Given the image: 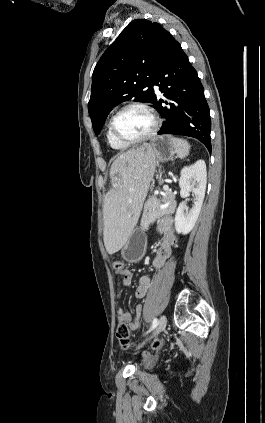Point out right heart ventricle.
Returning <instances> with one entry per match:
<instances>
[{
  "mask_svg": "<svg viewBox=\"0 0 265 423\" xmlns=\"http://www.w3.org/2000/svg\"><path fill=\"white\" fill-rule=\"evenodd\" d=\"M106 138H107V142H108L109 146L113 150L124 151L129 147V145L123 144V143L119 142L117 139L114 138V136L112 135L111 130H110V122H109L108 127H107Z\"/></svg>",
  "mask_w": 265,
  "mask_h": 423,
  "instance_id": "e07e8e85",
  "label": "right heart ventricle"
}]
</instances>
